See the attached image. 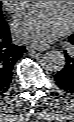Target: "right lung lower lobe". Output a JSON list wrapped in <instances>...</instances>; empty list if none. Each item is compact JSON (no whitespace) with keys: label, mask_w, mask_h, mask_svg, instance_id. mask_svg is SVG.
<instances>
[{"label":"right lung lower lobe","mask_w":74,"mask_h":122,"mask_svg":"<svg viewBox=\"0 0 74 122\" xmlns=\"http://www.w3.org/2000/svg\"><path fill=\"white\" fill-rule=\"evenodd\" d=\"M3 24V29L0 31V94L9 88L12 69L17 60L27 52L25 47L11 43L10 30L4 22Z\"/></svg>","instance_id":"1"}]
</instances>
